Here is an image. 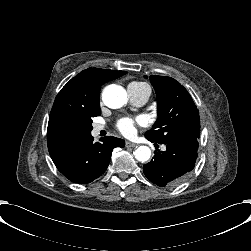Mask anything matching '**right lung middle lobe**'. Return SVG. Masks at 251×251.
Masks as SVG:
<instances>
[{
    "mask_svg": "<svg viewBox=\"0 0 251 251\" xmlns=\"http://www.w3.org/2000/svg\"><path fill=\"white\" fill-rule=\"evenodd\" d=\"M100 114H101V112H99L97 114L89 115L84 120L85 129H86L88 134H90V131L92 130V118L96 117V116H99Z\"/></svg>",
    "mask_w": 251,
    "mask_h": 251,
    "instance_id": "obj_1",
    "label": "right lung middle lobe"
}]
</instances>
